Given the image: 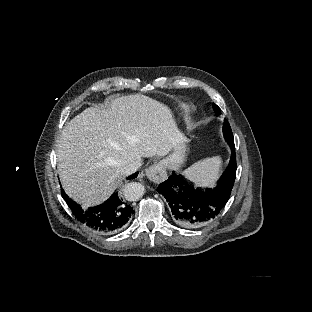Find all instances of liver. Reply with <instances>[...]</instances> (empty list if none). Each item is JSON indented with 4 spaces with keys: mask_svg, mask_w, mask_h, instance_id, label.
<instances>
[{
    "mask_svg": "<svg viewBox=\"0 0 312 312\" xmlns=\"http://www.w3.org/2000/svg\"><path fill=\"white\" fill-rule=\"evenodd\" d=\"M181 135L171 109L145 95L87 108L56 140L62 187L85 209L100 205L122 184L133 161L167 155Z\"/></svg>",
    "mask_w": 312,
    "mask_h": 312,
    "instance_id": "6515ba94",
    "label": "liver"
}]
</instances>
